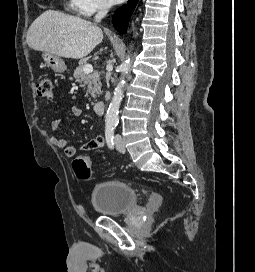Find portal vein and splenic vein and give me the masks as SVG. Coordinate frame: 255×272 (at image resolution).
Masks as SVG:
<instances>
[{
    "label": "portal vein and splenic vein",
    "instance_id": "obj_1",
    "mask_svg": "<svg viewBox=\"0 0 255 272\" xmlns=\"http://www.w3.org/2000/svg\"><path fill=\"white\" fill-rule=\"evenodd\" d=\"M83 71H84L85 74L91 73L93 71L92 65L86 64L85 67H84V69H83Z\"/></svg>",
    "mask_w": 255,
    "mask_h": 272
}]
</instances>
